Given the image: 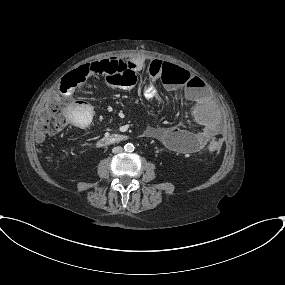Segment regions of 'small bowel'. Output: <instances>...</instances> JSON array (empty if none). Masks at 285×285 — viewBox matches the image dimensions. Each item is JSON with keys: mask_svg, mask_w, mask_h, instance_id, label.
Here are the masks:
<instances>
[{"mask_svg": "<svg viewBox=\"0 0 285 285\" xmlns=\"http://www.w3.org/2000/svg\"><path fill=\"white\" fill-rule=\"evenodd\" d=\"M144 64L143 59L129 61L133 68H141ZM164 69V62L159 59H151L148 62L149 82L144 88L146 99L157 100L158 94L152 82L159 77ZM198 77L187 73L184 78H169L167 88L171 92L183 91L186 98L190 101V118L198 124V131H188L179 127H164L153 130L151 135L167 148L176 150L183 154H191L205 148L208 143L219 139L220 132L215 124L206 116L205 104L200 97L201 87ZM87 85L79 87L78 92L84 93ZM67 113L71 124L79 126L82 119H90L89 105L79 98L69 100L67 103Z\"/></svg>", "mask_w": 285, "mask_h": 285, "instance_id": "c3829d8e", "label": "small bowel"}]
</instances>
